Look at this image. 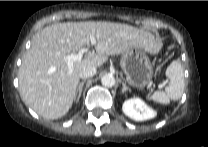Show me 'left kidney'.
<instances>
[{
	"instance_id": "obj_1",
	"label": "left kidney",
	"mask_w": 208,
	"mask_h": 147,
	"mask_svg": "<svg viewBox=\"0 0 208 147\" xmlns=\"http://www.w3.org/2000/svg\"><path fill=\"white\" fill-rule=\"evenodd\" d=\"M122 110L124 114L135 121H144L156 116V111L151 109L140 98L128 99L123 103Z\"/></svg>"
}]
</instances>
